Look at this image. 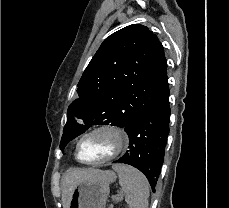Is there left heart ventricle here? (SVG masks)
Returning <instances> with one entry per match:
<instances>
[{"label":"left heart ventricle","instance_id":"1","mask_svg":"<svg viewBox=\"0 0 229 208\" xmlns=\"http://www.w3.org/2000/svg\"><path fill=\"white\" fill-rule=\"evenodd\" d=\"M88 138V135L85 137ZM84 138V139H85ZM84 139L80 144V156L83 160H99L101 158L107 157L118 150L119 147H112L111 143H106L104 139L100 143H85ZM92 140V139H91Z\"/></svg>","mask_w":229,"mask_h":208}]
</instances>
